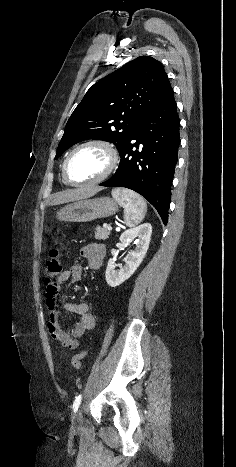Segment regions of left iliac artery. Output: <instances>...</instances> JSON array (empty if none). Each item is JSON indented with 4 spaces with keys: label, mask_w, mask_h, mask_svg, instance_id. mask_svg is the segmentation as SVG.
<instances>
[{
    "label": "left iliac artery",
    "mask_w": 236,
    "mask_h": 467,
    "mask_svg": "<svg viewBox=\"0 0 236 467\" xmlns=\"http://www.w3.org/2000/svg\"><path fill=\"white\" fill-rule=\"evenodd\" d=\"M81 399H82V396L79 395L78 397H76L74 403H73V411L76 412L80 406V403H81Z\"/></svg>",
    "instance_id": "44dca946"
}]
</instances>
